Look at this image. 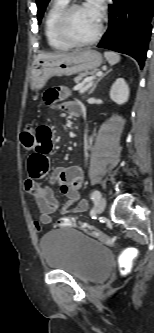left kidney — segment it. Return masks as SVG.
<instances>
[{"label":"left kidney","mask_w":154,"mask_h":333,"mask_svg":"<svg viewBox=\"0 0 154 333\" xmlns=\"http://www.w3.org/2000/svg\"><path fill=\"white\" fill-rule=\"evenodd\" d=\"M110 98L117 104H124L129 98V87L123 78H118L111 87Z\"/></svg>","instance_id":"obj_1"}]
</instances>
